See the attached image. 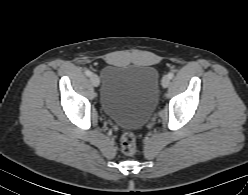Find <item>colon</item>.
<instances>
[{"mask_svg":"<svg viewBox=\"0 0 248 195\" xmlns=\"http://www.w3.org/2000/svg\"><path fill=\"white\" fill-rule=\"evenodd\" d=\"M121 151L127 156L136 153V137L132 132H125L121 137Z\"/></svg>","mask_w":248,"mask_h":195,"instance_id":"colon-1","label":"colon"}]
</instances>
